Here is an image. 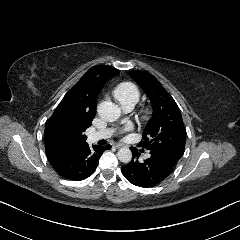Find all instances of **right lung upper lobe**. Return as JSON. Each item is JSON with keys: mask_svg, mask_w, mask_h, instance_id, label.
Here are the masks:
<instances>
[{"mask_svg": "<svg viewBox=\"0 0 240 240\" xmlns=\"http://www.w3.org/2000/svg\"><path fill=\"white\" fill-rule=\"evenodd\" d=\"M119 74L113 67L97 65L90 68L68 91L44 131L47 156L77 151L88 145L83 132L96 114V100L104 84Z\"/></svg>", "mask_w": 240, "mask_h": 240, "instance_id": "obj_1", "label": "right lung upper lobe"}]
</instances>
